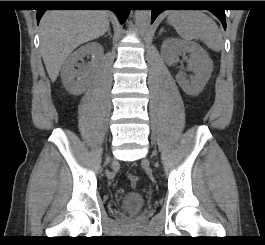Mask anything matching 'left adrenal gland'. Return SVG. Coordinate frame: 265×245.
Segmentation results:
<instances>
[{"label": "left adrenal gland", "instance_id": "a2214340", "mask_svg": "<svg viewBox=\"0 0 265 245\" xmlns=\"http://www.w3.org/2000/svg\"><path fill=\"white\" fill-rule=\"evenodd\" d=\"M162 32H165V31H164V28H161V29H160V31H159V35H161Z\"/></svg>", "mask_w": 265, "mask_h": 245}]
</instances>
